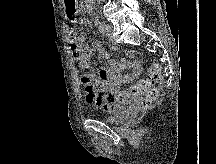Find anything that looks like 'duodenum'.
Returning a JSON list of instances; mask_svg holds the SVG:
<instances>
[{
    "label": "duodenum",
    "mask_w": 216,
    "mask_h": 164,
    "mask_svg": "<svg viewBox=\"0 0 216 164\" xmlns=\"http://www.w3.org/2000/svg\"><path fill=\"white\" fill-rule=\"evenodd\" d=\"M89 2V0H86V3H88ZM88 6H90V4H87Z\"/></svg>",
    "instance_id": "duodenum-1"
}]
</instances>
